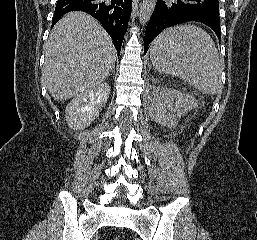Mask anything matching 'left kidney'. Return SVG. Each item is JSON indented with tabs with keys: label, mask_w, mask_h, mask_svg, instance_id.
<instances>
[{
	"label": "left kidney",
	"mask_w": 257,
	"mask_h": 240,
	"mask_svg": "<svg viewBox=\"0 0 257 240\" xmlns=\"http://www.w3.org/2000/svg\"><path fill=\"white\" fill-rule=\"evenodd\" d=\"M193 96L175 89L160 88L154 93L151 118L165 126H175L188 109L195 107Z\"/></svg>",
	"instance_id": "left-kidney-1"
}]
</instances>
